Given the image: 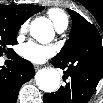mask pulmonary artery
Listing matches in <instances>:
<instances>
[{
  "mask_svg": "<svg viewBox=\"0 0 103 103\" xmlns=\"http://www.w3.org/2000/svg\"><path fill=\"white\" fill-rule=\"evenodd\" d=\"M65 28L58 29L59 32H62Z\"/></svg>",
  "mask_w": 103,
  "mask_h": 103,
  "instance_id": "obj_1",
  "label": "pulmonary artery"
}]
</instances>
